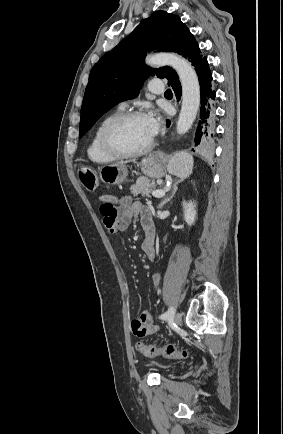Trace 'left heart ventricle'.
<instances>
[{
  "instance_id": "obj_1",
  "label": "left heart ventricle",
  "mask_w": 283,
  "mask_h": 434,
  "mask_svg": "<svg viewBox=\"0 0 283 434\" xmlns=\"http://www.w3.org/2000/svg\"><path fill=\"white\" fill-rule=\"evenodd\" d=\"M152 137L146 126L145 117L130 120L121 125L114 134V141L125 151H136L145 147Z\"/></svg>"
}]
</instances>
